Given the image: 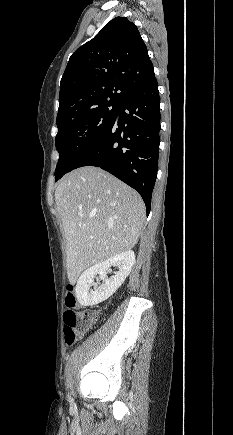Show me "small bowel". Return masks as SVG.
Listing matches in <instances>:
<instances>
[{"mask_svg": "<svg viewBox=\"0 0 233 435\" xmlns=\"http://www.w3.org/2000/svg\"><path fill=\"white\" fill-rule=\"evenodd\" d=\"M77 305H79V302H78V301H76V303H75V306H77Z\"/></svg>", "mask_w": 233, "mask_h": 435, "instance_id": "small-bowel-1", "label": "small bowel"}]
</instances>
